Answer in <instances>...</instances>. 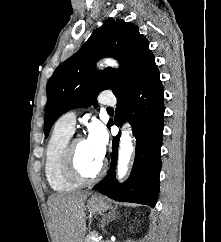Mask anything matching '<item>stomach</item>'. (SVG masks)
I'll return each mask as SVG.
<instances>
[{
    "mask_svg": "<svg viewBox=\"0 0 221 242\" xmlns=\"http://www.w3.org/2000/svg\"><path fill=\"white\" fill-rule=\"evenodd\" d=\"M87 208L93 213H103L110 209V204L102 196L93 195L87 201Z\"/></svg>",
    "mask_w": 221,
    "mask_h": 242,
    "instance_id": "obj_1",
    "label": "stomach"
}]
</instances>
